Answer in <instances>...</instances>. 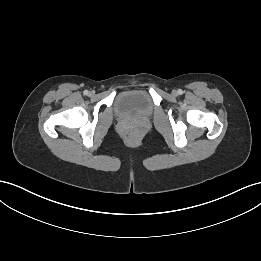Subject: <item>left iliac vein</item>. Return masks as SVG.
I'll return each instance as SVG.
<instances>
[{"label": "left iliac vein", "instance_id": "left-iliac-vein-1", "mask_svg": "<svg viewBox=\"0 0 261 261\" xmlns=\"http://www.w3.org/2000/svg\"><path fill=\"white\" fill-rule=\"evenodd\" d=\"M172 94L173 95H177V92L174 90V91H172Z\"/></svg>", "mask_w": 261, "mask_h": 261}]
</instances>
